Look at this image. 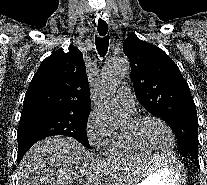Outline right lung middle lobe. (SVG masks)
<instances>
[{"mask_svg":"<svg viewBox=\"0 0 207 185\" xmlns=\"http://www.w3.org/2000/svg\"><path fill=\"white\" fill-rule=\"evenodd\" d=\"M89 113L37 109L23 111L18 127V163L38 140L53 136H70L90 148L86 133Z\"/></svg>","mask_w":207,"mask_h":185,"instance_id":"right-lung-middle-lobe-1","label":"right lung middle lobe"}]
</instances>
